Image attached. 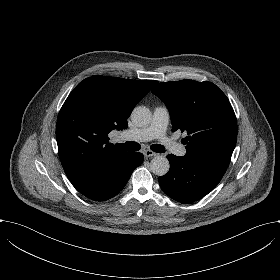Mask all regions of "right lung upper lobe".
Listing matches in <instances>:
<instances>
[{"mask_svg": "<svg viewBox=\"0 0 280 280\" xmlns=\"http://www.w3.org/2000/svg\"><path fill=\"white\" fill-rule=\"evenodd\" d=\"M156 83L96 75L70 93L58 115L56 139L64 171L80 193L90 192L100 174L129 155L109 143L108 134L127 128L133 108Z\"/></svg>", "mask_w": 280, "mask_h": 280, "instance_id": "right-lung-upper-lobe-1", "label": "right lung upper lobe"}]
</instances>
